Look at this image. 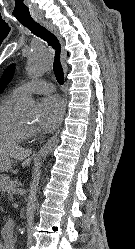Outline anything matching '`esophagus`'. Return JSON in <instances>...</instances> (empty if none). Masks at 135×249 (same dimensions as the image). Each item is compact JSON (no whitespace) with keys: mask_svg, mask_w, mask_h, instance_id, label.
<instances>
[{"mask_svg":"<svg viewBox=\"0 0 135 249\" xmlns=\"http://www.w3.org/2000/svg\"><path fill=\"white\" fill-rule=\"evenodd\" d=\"M41 23L48 30H50L59 40V42L61 44V62H62V65L64 66L65 60H66V52L64 50V41H63L62 37L60 36L58 30L50 22H48L46 20H42ZM59 133H60V130L53 137H51V139L43 147H41L38 150V152H37L38 156H46L51 152V150L53 149V147L56 143V140H57Z\"/></svg>","mask_w":135,"mask_h":249,"instance_id":"esophagus-1","label":"esophagus"}]
</instances>
